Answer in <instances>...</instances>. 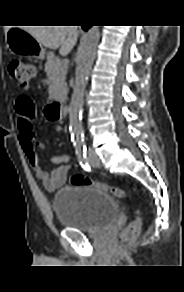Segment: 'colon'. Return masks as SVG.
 I'll return each instance as SVG.
<instances>
[{
    "instance_id": "obj_1",
    "label": "colon",
    "mask_w": 184,
    "mask_h": 292,
    "mask_svg": "<svg viewBox=\"0 0 184 292\" xmlns=\"http://www.w3.org/2000/svg\"><path fill=\"white\" fill-rule=\"evenodd\" d=\"M9 73L12 78L15 79L18 88L26 90L29 88L31 81L35 76V67L30 63L15 59L9 64ZM15 110L19 124L22 127L29 128L33 126L36 117V104L32 97L25 94L19 96L15 103ZM71 184L93 186L115 197H125L127 195V192L123 189L110 186L103 182L94 181L81 174L73 175L71 178ZM141 225L142 218L140 212H137L135 219L122 230L119 239L120 243L126 245L134 242L139 235Z\"/></svg>"
}]
</instances>
